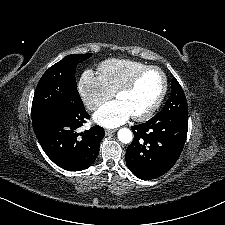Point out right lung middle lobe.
Wrapping results in <instances>:
<instances>
[{
  "mask_svg": "<svg viewBox=\"0 0 225 225\" xmlns=\"http://www.w3.org/2000/svg\"><path fill=\"white\" fill-rule=\"evenodd\" d=\"M93 53L71 54L51 66L43 74L36 87L32 102V121L63 107L83 104L77 91L75 70L79 63Z\"/></svg>",
  "mask_w": 225,
  "mask_h": 225,
  "instance_id": "right-lung-middle-lobe-1",
  "label": "right lung middle lobe"
}]
</instances>
